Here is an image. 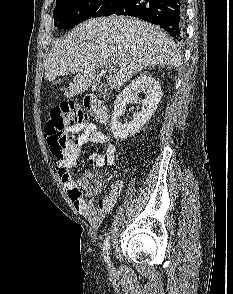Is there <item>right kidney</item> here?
Listing matches in <instances>:
<instances>
[{"mask_svg": "<svg viewBox=\"0 0 233 294\" xmlns=\"http://www.w3.org/2000/svg\"><path fill=\"white\" fill-rule=\"evenodd\" d=\"M143 93L145 98L140 102V112L134 114L129 123H122L119 117L124 113L127 103H138V94ZM162 90L158 81L148 74H140L119 95L114 102L111 118V132L117 139H126L138 133L150 120L161 100Z\"/></svg>", "mask_w": 233, "mask_h": 294, "instance_id": "right-kidney-1", "label": "right kidney"}]
</instances>
